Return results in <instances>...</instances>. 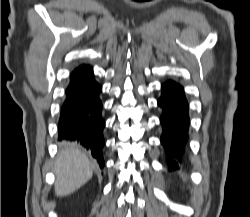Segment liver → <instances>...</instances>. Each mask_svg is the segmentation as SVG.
<instances>
[{"instance_id": "1", "label": "liver", "mask_w": 250, "mask_h": 217, "mask_svg": "<svg viewBox=\"0 0 250 217\" xmlns=\"http://www.w3.org/2000/svg\"><path fill=\"white\" fill-rule=\"evenodd\" d=\"M57 176L55 193L57 196L71 194L91 177L93 165L78 146L63 143L54 167Z\"/></svg>"}]
</instances>
